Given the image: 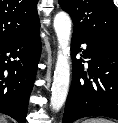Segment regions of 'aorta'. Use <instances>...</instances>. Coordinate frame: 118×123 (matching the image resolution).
Returning a JSON list of instances; mask_svg holds the SVG:
<instances>
[{
    "instance_id": "aorta-1",
    "label": "aorta",
    "mask_w": 118,
    "mask_h": 123,
    "mask_svg": "<svg viewBox=\"0 0 118 123\" xmlns=\"http://www.w3.org/2000/svg\"><path fill=\"white\" fill-rule=\"evenodd\" d=\"M54 29L59 50L51 88L50 106L57 112L65 103L70 82V16L65 12L57 13L54 17Z\"/></svg>"
}]
</instances>
